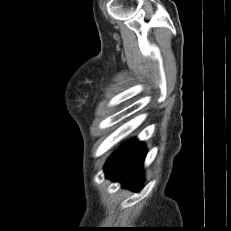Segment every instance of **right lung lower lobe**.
I'll use <instances>...</instances> for the list:
<instances>
[{
	"mask_svg": "<svg viewBox=\"0 0 231 231\" xmlns=\"http://www.w3.org/2000/svg\"><path fill=\"white\" fill-rule=\"evenodd\" d=\"M145 155L143 143L136 139L126 142L106 162V177L125 185H137L143 177L141 170Z\"/></svg>",
	"mask_w": 231,
	"mask_h": 231,
	"instance_id": "1",
	"label": "right lung lower lobe"
}]
</instances>
